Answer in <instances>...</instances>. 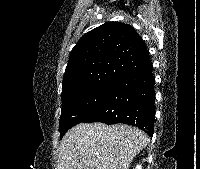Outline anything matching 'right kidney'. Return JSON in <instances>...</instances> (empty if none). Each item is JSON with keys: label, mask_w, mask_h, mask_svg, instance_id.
Wrapping results in <instances>:
<instances>
[{"label": "right kidney", "mask_w": 200, "mask_h": 169, "mask_svg": "<svg viewBox=\"0 0 200 169\" xmlns=\"http://www.w3.org/2000/svg\"><path fill=\"white\" fill-rule=\"evenodd\" d=\"M135 169H142L141 165H137Z\"/></svg>", "instance_id": "ca27d5eb"}]
</instances>
